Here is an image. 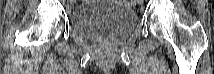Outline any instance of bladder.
I'll list each match as a JSON object with an SVG mask.
<instances>
[{
    "mask_svg": "<svg viewBox=\"0 0 214 74\" xmlns=\"http://www.w3.org/2000/svg\"><path fill=\"white\" fill-rule=\"evenodd\" d=\"M70 17L72 31L89 39L108 34L118 40L130 33L137 23L133 9L111 0L83 2Z\"/></svg>",
    "mask_w": 214,
    "mask_h": 74,
    "instance_id": "1",
    "label": "bladder"
}]
</instances>
